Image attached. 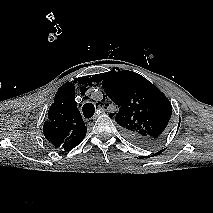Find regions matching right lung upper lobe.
<instances>
[{
	"mask_svg": "<svg viewBox=\"0 0 213 213\" xmlns=\"http://www.w3.org/2000/svg\"><path fill=\"white\" fill-rule=\"evenodd\" d=\"M86 131L75 101L74 82H68L59 88L49 108L44 136L55 148L69 151L81 143Z\"/></svg>",
	"mask_w": 213,
	"mask_h": 213,
	"instance_id": "cb5924a9",
	"label": "right lung upper lobe"
}]
</instances>
